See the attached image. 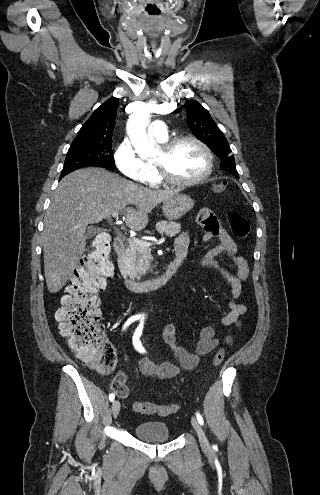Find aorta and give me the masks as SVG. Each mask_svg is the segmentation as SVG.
Instances as JSON below:
<instances>
[{
  "label": "aorta",
  "instance_id": "obj_1",
  "mask_svg": "<svg viewBox=\"0 0 320 495\" xmlns=\"http://www.w3.org/2000/svg\"><path fill=\"white\" fill-rule=\"evenodd\" d=\"M158 111L156 102H149L129 116L127 132L140 157H151L158 154V147L149 139L147 126L153 113Z\"/></svg>",
  "mask_w": 320,
  "mask_h": 495
}]
</instances>
